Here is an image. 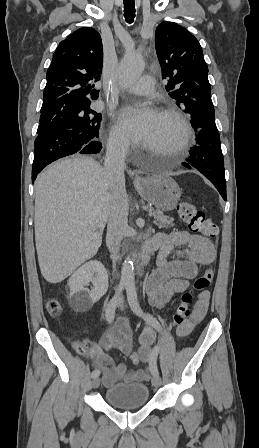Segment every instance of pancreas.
Here are the masks:
<instances>
[{"label":"pancreas","mask_w":259,"mask_h":448,"mask_svg":"<svg viewBox=\"0 0 259 448\" xmlns=\"http://www.w3.org/2000/svg\"><path fill=\"white\" fill-rule=\"evenodd\" d=\"M149 216H153L155 222H157V226L159 228H172L174 226V218H169V216H164L163 212H160V210H153V208H150L149 210Z\"/></svg>","instance_id":"1"}]
</instances>
